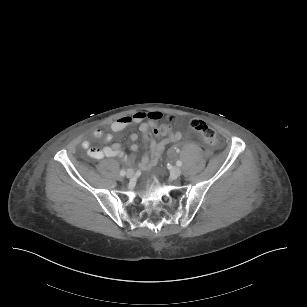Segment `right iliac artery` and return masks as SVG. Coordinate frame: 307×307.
Instances as JSON below:
<instances>
[{
  "instance_id": "right-iliac-artery-1",
  "label": "right iliac artery",
  "mask_w": 307,
  "mask_h": 307,
  "mask_svg": "<svg viewBox=\"0 0 307 307\" xmlns=\"http://www.w3.org/2000/svg\"><path fill=\"white\" fill-rule=\"evenodd\" d=\"M125 174H126V171H125V170H121V171H120V175H121V176H125Z\"/></svg>"
}]
</instances>
